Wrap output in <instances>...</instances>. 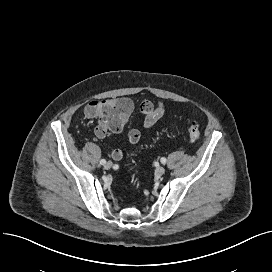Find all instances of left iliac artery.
<instances>
[{
  "instance_id": "left-iliac-artery-1",
  "label": "left iliac artery",
  "mask_w": 272,
  "mask_h": 272,
  "mask_svg": "<svg viewBox=\"0 0 272 272\" xmlns=\"http://www.w3.org/2000/svg\"><path fill=\"white\" fill-rule=\"evenodd\" d=\"M166 161H167V160H166V158H164V157H163V158H161V163L165 164V163H166Z\"/></svg>"
}]
</instances>
